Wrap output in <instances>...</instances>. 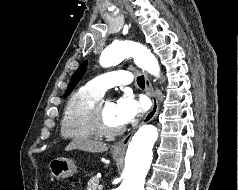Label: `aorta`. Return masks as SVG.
I'll return each mask as SVG.
<instances>
[{
  "instance_id": "762f6f07",
  "label": "aorta",
  "mask_w": 238,
  "mask_h": 190,
  "mask_svg": "<svg viewBox=\"0 0 238 190\" xmlns=\"http://www.w3.org/2000/svg\"><path fill=\"white\" fill-rule=\"evenodd\" d=\"M131 57L140 68L159 76L160 66L156 57L145 46L134 41H114L102 52L100 65L105 68L115 66ZM157 139L158 131L154 125H143L134 134L126 152L124 178L117 190H144Z\"/></svg>"
}]
</instances>
